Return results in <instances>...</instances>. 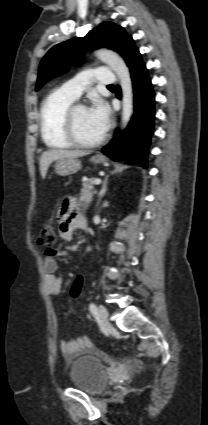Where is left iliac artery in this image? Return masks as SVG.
<instances>
[{
	"instance_id": "44dca946",
	"label": "left iliac artery",
	"mask_w": 208,
	"mask_h": 425,
	"mask_svg": "<svg viewBox=\"0 0 208 425\" xmlns=\"http://www.w3.org/2000/svg\"><path fill=\"white\" fill-rule=\"evenodd\" d=\"M89 309H90V312H91L92 315H94V316L98 315L97 307L94 303H91L89 305Z\"/></svg>"
}]
</instances>
